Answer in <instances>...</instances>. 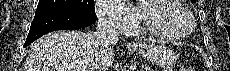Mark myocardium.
I'll use <instances>...</instances> for the list:
<instances>
[{"mask_svg":"<svg viewBox=\"0 0 230 71\" xmlns=\"http://www.w3.org/2000/svg\"><path fill=\"white\" fill-rule=\"evenodd\" d=\"M159 0H146L142 2L139 6L141 12V21L144 29L150 34L168 40H181L188 38L195 31L196 23L191 11L180 1V0H171L168 7L171 9L181 11L188 19L189 28L183 33H176L165 30L155 21H153L149 15V10L152 7V3Z\"/></svg>","mask_w":230,"mask_h":71,"instance_id":"1","label":"myocardium"}]
</instances>
